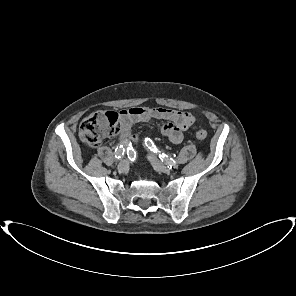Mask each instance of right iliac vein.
<instances>
[{"label": "right iliac vein", "instance_id": "right-iliac-vein-1", "mask_svg": "<svg viewBox=\"0 0 296 296\" xmlns=\"http://www.w3.org/2000/svg\"><path fill=\"white\" fill-rule=\"evenodd\" d=\"M128 167H129V162L128 160H125V159L121 160L118 164V170L120 172H125L128 169Z\"/></svg>", "mask_w": 296, "mask_h": 296}]
</instances>
